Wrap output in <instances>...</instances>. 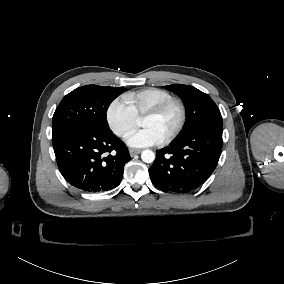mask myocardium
Here are the masks:
<instances>
[{
	"label": "myocardium",
	"instance_id": "1",
	"mask_svg": "<svg viewBox=\"0 0 284 284\" xmlns=\"http://www.w3.org/2000/svg\"><path fill=\"white\" fill-rule=\"evenodd\" d=\"M170 109H176L178 118L173 130L161 140L162 144L170 143L182 130L186 119V110L184 104L179 100L171 99L144 113V116L158 117Z\"/></svg>",
	"mask_w": 284,
	"mask_h": 284
}]
</instances>
